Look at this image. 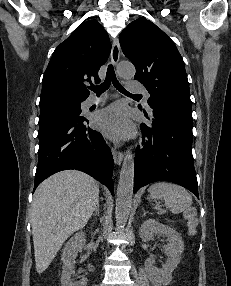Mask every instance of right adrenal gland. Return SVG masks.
Masks as SVG:
<instances>
[{
  "label": "right adrenal gland",
  "mask_w": 231,
  "mask_h": 286,
  "mask_svg": "<svg viewBox=\"0 0 231 286\" xmlns=\"http://www.w3.org/2000/svg\"><path fill=\"white\" fill-rule=\"evenodd\" d=\"M93 216H99V203H97L96 207H95V213L93 214Z\"/></svg>",
  "instance_id": "2a0ac1e0"
}]
</instances>
